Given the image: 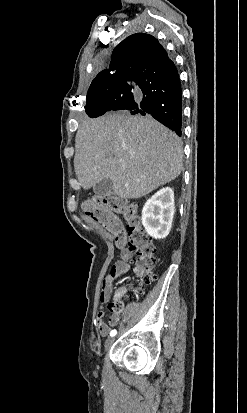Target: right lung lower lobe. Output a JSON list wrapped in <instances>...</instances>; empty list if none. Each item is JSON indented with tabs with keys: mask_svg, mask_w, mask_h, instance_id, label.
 Here are the masks:
<instances>
[{
	"mask_svg": "<svg viewBox=\"0 0 247 413\" xmlns=\"http://www.w3.org/2000/svg\"><path fill=\"white\" fill-rule=\"evenodd\" d=\"M124 82L129 89L126 94L109 97L87 115L96 118L116 110L148 114L181 136V82L172 61L160 71L130 74Z\"/></svg>",
	"mask_w": 247,
	"mask_h": 413,
	"instance_id": "98d812e1",
	"label": "right lung lower lobe"
}]
</instances>
